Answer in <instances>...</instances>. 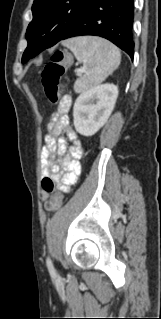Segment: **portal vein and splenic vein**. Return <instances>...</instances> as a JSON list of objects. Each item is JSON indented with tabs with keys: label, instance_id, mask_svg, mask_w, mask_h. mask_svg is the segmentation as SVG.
I'll return each mask as SVG.
<instances>
[{
	"label": "portal vein and splenic vein",
	"instance_id": "obj_1",
	"mask_svg": "<svg viewBox=\"0 0 161 319\" xmlns=\"http://www.w3.org/2000/svg\"><path fill=\"white\" fill-rule=\"evenodd\" d=\"M85 70L84 69H80L77 71V75H80L81 73H83Z\"/></svg>",
	"mask_w": 161,
	"mask_h": 319
}]
</instances>
